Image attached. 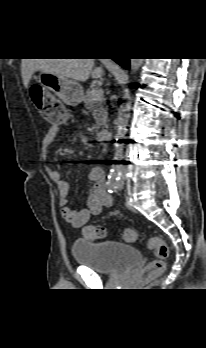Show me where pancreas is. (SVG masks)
<instances>
[{"instance_id": "pancreas-1", "label": "pancreas", "mask_w": 206, "mask_h": 348, "mask_svg": "<svg viewBox=\"0 0 206 348\" xmlns=\"http://www.w3.org/2000/svg\"><path fill=\"white\" fill-rule=\"evenodd\" d=\"M85 108L90 110L93 114L95 125L93 129H100L103 126H106L108 120L107 107H105L104 99L99 101H92V90H87L86 94L83 97Z\"/></svg>"}]
</instances>
